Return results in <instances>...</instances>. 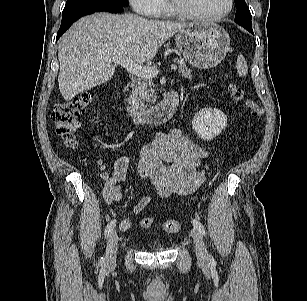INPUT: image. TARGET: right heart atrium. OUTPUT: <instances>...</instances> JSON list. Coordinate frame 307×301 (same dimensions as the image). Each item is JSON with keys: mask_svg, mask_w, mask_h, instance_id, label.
<instances>
[{"mask_svg": "<svg viewBox=\"0 0 307 301\" xmlns=\"http://www.w3.org/2000/svg\"><path fill=\"white\" fill-rule=\"evenodd\" d=\"M130 5L140 15L159 17L164 10L162 0H129Z\"/></svg>", "mask_w": 307, "mask_h": 301, "instance_id": "1", "label": "right heart atrium"}]
</instances>
